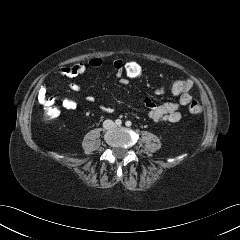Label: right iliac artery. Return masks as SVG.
<instances>
[{
  "label": "right iliac artery",
  "mask_w": 240,
  "mask_h": 240,
  "mask_svg": "<svg viewBox=\"0 0 240 240\" xmlns=\"http://www.w3.org/2000/svg\"><path fill=\"white\" fill-rule=\"evenodd\" d=\"M115 123H116V125L120 126V125L122 124V121H121L120 119H117V120L115 121Z\"/></svg>",
  "instance_id": "obj_1"
}]
</instances>
